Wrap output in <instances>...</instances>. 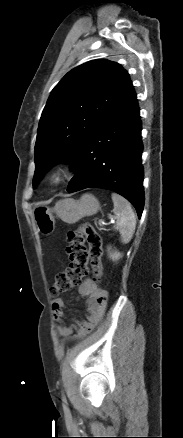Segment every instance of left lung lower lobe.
Listing matches in <instances>:
<instances>
[{
  "instance_id": "0a47b994",
  "label": "left lung lower lobe",
  "mask_w": 183,
  "mask_h": 438,
  "mask_svg": "<svg viewBox=\"0 0 183 438\" xmlns=\"http://www.w3.org/2000/svg\"><path fill=\"white\" fill-rule=\"evenodd\" d=\"M141 121L134 90L83 142L70 160L67 191L102 188L125 197L139 218L144 206Z\"/></svg>"
}]
</instances>
